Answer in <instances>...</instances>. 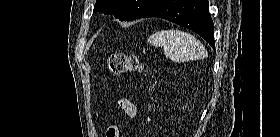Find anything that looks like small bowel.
Segmentation results:
<instances>
[{
    "mask_svg": "<svg viewBox=\"0 0 280 137\" xmlns=\"http://www.w3.org/2000/svg\"><path fill=\"white\" fill-rule=\"evenodd\" d=\"M118 106L123 111L126 118L130 122L135 123V121L138 117V114H139L138 106L134 102H132L128 99L119 100L118 101ZM110 127H112V126H110Z\"/></svg>",
    "mask_w": 280,
    "mask_h": 137,
    "instance_id": "obj_1",
    "label": "small bowel"
}]
</instances>
